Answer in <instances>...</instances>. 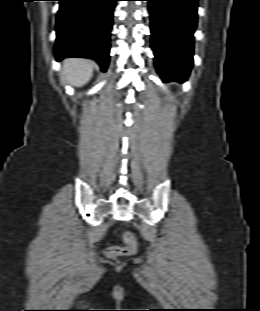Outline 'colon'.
<instances>
[{
  "label": "colon",
  "mask_w": 260,
  "mask_h": 311,
  "mask_svg": "<svg viewBox=\"0 0 260 311\" xmlns=\"http://www.w3.org/2000/svg\"><path fill=\"white\" fill-rule=\"evenodd\" d=\"M123 239L126 246H113L107 249V255L110 257H118L122 255H131L137 251L138 243L135 236L131 232H125Z\"/></svg>",
  "instance_id": "obj_1"
}]
</instances>
